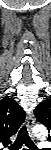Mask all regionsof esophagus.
<instances>
[{"label": "esophagus", "instance_id": "34e87169", "mask_svg": "<svg viewBox=\"0 0 51 150\" xmlns=\"http://www.w3.org/2000/svg\"><path fill=\"white\" fill-rule=\"evenodd\" d=\"M26 122H27V130L29 132V135L32 138H34L33 134H32V128H33V124H34V116H33L32 112H28Z\"/></svg>", "mask_w": 51, "mask_h": 150}]
</instances>
